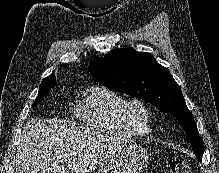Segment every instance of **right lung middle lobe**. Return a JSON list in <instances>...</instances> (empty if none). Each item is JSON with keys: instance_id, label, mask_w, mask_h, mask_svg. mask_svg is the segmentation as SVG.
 Listing matches in <instances>:
<instances>
[{"instance_id": "right-lung-middle-lobe-1", "label": "right lung middle lobe", "mask_w": 219, "mask_h": 173, "mask_svg": "<svg viewBox=\"0 0 219 173\" xmlns=\"http://www.w3.org/2000/svg\"><path fill=\"white\" fill-rule=\"evenodd\" d=\"M56 78H46L43 79L40 86H39V93L38 96L35 100V102L33 103L32 107L37 106L41 100L47 95L48 91L53 88L57 82H55Z\"/></svg>"}]
</instances>
